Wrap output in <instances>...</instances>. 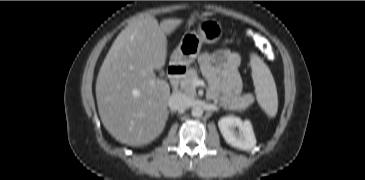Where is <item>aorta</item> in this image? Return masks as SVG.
I'll return each instance as SVG.
<instances>
[{
    "mask_svg": "<svg viewBox=\"0 0 365 180\" xmlns=\"http://www.w3.org/2000/svg\"><path fill=\"white\" fill-rule=\"evenodd\" d=\"M192 116L201 117L203 115V108L200 106H194L191 111Z\"/></svg>",
    "mask_w": 365,
    "mask_h": 180,
    "instance_id": "762f6f07",
    "label": "aorta"
}]
</instances>
